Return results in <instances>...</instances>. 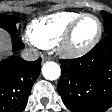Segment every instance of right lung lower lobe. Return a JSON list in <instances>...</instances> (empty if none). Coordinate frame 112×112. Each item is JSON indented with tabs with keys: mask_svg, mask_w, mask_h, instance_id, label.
<instances>
[{
	"mask_svg": "<svg viewBox=\"0 0 112 112\" xmlns=\"http://www.w3.org/2000/svg\"><path fill=\"white\" fill-rule=\"evenodd\" d=\"M13 50L24 47L18 37H11ZM41 69V59L28 62L11 56L0 62V112H22Z\"/></svg>",
	"mask_w": 112,
	"mask_h": 112,
	"instance_id": "obj_1",
	"label": "right lung lower lobe"
}]
</instances>
